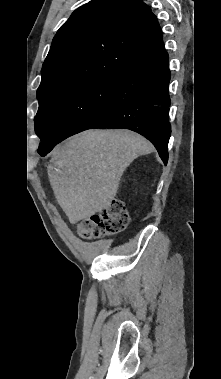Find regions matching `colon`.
Listing matches in <instances>:
<instances>
[{"instance_id": "5ec220e1", "label": "colon", "mask_w": 221, "mask_h": 379, "mask_svg": "<svg viewBox=\"0 0 221 379\" xmlns=\"http://www.w3.org/2000/svg\"><path fill=\"white\" fill-rule=\"evenodd\" d=\"M129 214L123 201L114 200L101 212L78 223L77 231L84 239L101 238L123 231Z\"/></svg>"}]
</instances>
